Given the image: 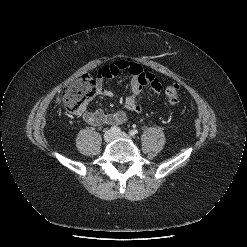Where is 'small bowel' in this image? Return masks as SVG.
Returning a JSON list of instances; mask_svg holds the SVG:
<instances>
[{
    "instance_id": "1",
    "label": "small bowel",
    "mask_w": 247,
    "mask_h": 247,
    "mask_svg": "<svg viewBox=\"0 0 247 247\" xmlns=\"http://www.w3.org/2000/svg\"><path fill=\"white\" fill-rule=\"evenodd\" d=\"M121 71H126L130 75L131 94L125 98V109L114 113H106L101 109L85 112L83 120L86 123L92 126L122 124L126 121L129 113L142 111L136 97L145 87H149L156 96L162 94L163 86L153 74L145 71L141 65L125 60L107 63L100 68L96 79V94L102 97H112L113 92L104 87L103 81L116 76Z\"/></svg>"
}]
</instances>
